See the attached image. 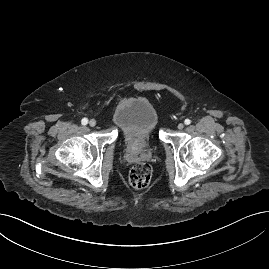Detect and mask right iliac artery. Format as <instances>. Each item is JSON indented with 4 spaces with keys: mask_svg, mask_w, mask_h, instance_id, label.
<instances>
[{
    "mask_svg": "<svg viewBox=\"0 0 269 269\" xmlns=\"http://www.w3.org/2000/svg\"><path fill=\"white\" fill-rule=\"evenodd\" d=\"M81 123H82V125H86L88 123V119L87 118H83L81 120Z\"/></svg>",
    "mask_w": 269,
    "mask_h": 269,
    "instance_id": "82829eb1",
    "label": "right iliac artery"
}]
</instances>
